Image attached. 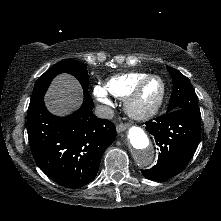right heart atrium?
I'll list each match as a JSON object with an SVG mask.
<instances>
[{"label":"right heart atrium","mask_w":221,"mask_h":221,"mask_svg":"<svg viewBox=\"0 0 221 221\" xmlns=\"http://www.w3.org/2000/svg\"><path fill=\"white\" fill-rule=\"evenodd\" d=\"M93 93L95 95V97L102 103H109L108 98H107V94L105 89H103L101 86H95Z\"/></svg>","instance_id":"obj_1"}]
</instances>
